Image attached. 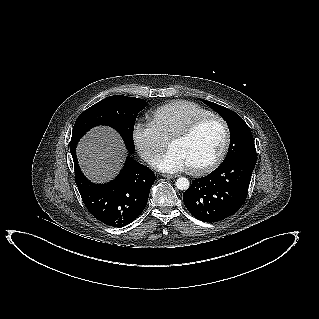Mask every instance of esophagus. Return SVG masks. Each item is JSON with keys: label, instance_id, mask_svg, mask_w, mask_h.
I'll use <instances>...</instances> for the list:
<instances>
[{"label": "esophagus", "instance_id": "34e87169", "mask_svg": "<svg viewBox=\"0 0 319 319\" xmlns=\"http://www.w3.org/2000/svg\"><path fill=\"white\" fill-rule=\"evenodd\" d=\"M162 176L165 177V178H169V179L177 177V175H171V174H163Z\"/></svg>", "mask_w": 319, "mask_h": 319}]
</instances>
